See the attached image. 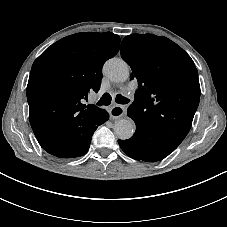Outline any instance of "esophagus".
Returning a JSON list of instances; mask_svg holds the SVG:
<instances>
[{"instance_id": "34e87169", "label": "esophagus", "mask_w": 227, "mask_h": 227, "mask_svg": "<svg viewBox=\"0 0 227 227\" xmlns=\"http://www.w3.org/2000/svg\"><path fill=\"white\" fill-rule=\"evenodd\" d=\"M125 113V108L120 105H114L109 111L110 119H118Z\"/></svg>"}]
</instances>
